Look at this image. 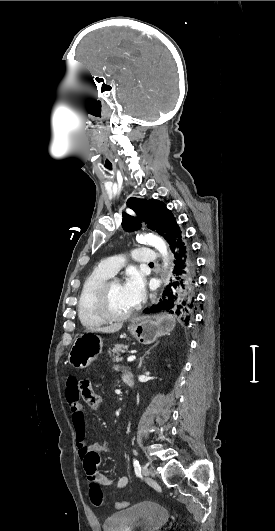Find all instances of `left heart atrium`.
Wrapping results in <instances>:
<instances>
[{"instance_id": "39dd6f15", "label": "left heart atrium", "mask_w": 275, "mask_h": 531, "mask_svg": "<svg viewBox=\"0 0 275 531\" xmlns=\"http://www.w3.org/2000/svg\"><path fill=\"white\" fill-rule=\"evenodd\" d=\"M123 286L131 304L134 307L137 306L141 302L144 293L143 275L135 268L128 270Z\"/></svg>"}]
</instances>
